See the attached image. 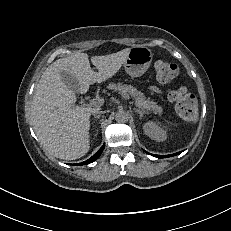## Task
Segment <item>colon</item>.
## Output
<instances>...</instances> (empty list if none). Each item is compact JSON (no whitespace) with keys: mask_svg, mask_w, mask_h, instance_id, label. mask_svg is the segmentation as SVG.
Here are the masks:
<instances>
[{"mask_svg":"<svg viewBox=\"0 0 231 231\" xmlns=\"http://www.w3.org/2000/svg\"><path fill=\"white\" fill-rule=\"evenodd\" d=\"M154 71L159 82L168 84L177 77L179 68L175 63L157 60L154 63ZM169 98L175 103L176 111L183 119L193 121L197 118V100L186 87L181 86L172 90Z\"/></svg>","mask_w":231,"mask_h":231,"instance_id":"obj_1","label":"colon"}]
</instances>
